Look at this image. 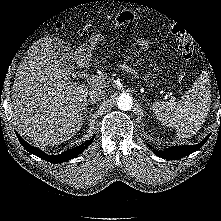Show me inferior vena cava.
<instances>
[{
	"instance_id": "1",
	"label": "inferior vena cava",
	"mask_w": 221,
	"mask_h": 221,
	"mask_svg": "<svg viewBox=\"0 0 221 221\" xmlns=\"http://www.w3.org/2000/svg\"><path fill=\"white\" fill-rule=\"evenodd\" d=\"M105 95H106V92L102 89L92 88L89 91V97L92 100H101L105 97Z\"/></svg>"
}]
</instances>
